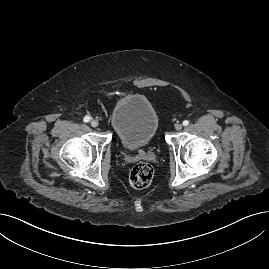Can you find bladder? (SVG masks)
Returning <instances> with one entry per match:
<instances>
[{"instance_id":"bladder-1","label":"bladder","mask_w":269,"mask_h":269,"mask_svg":"<svg viewBox=\"0 0 269 269\" xmlns=\"http://www.w3.org/2000/svg\"><path fill=\"white\" fill-rule=\"evenodd\" d=\"M110 124L120 144L135 150L149 145L158 131L159 118L147 97L130 94L114 105Z\"/></svg>"}]
</instances>
